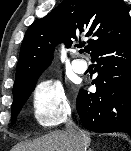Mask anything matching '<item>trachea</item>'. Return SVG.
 <instances>
[{
    "label": "trachea",
    "mask_w": 131,
    "mask_h": 151,
    "mask_svg": "<svg viewBox=\"0 0 131 151\" xmlns=\"http://www.w3.org/2000/svg\"><path fill=\"white\" fill-rule=\"evenodd\" d=\"M84 52V50H80V53H83Z\"/></svg>",
    "instance_id": "1"
}]
</instances>
